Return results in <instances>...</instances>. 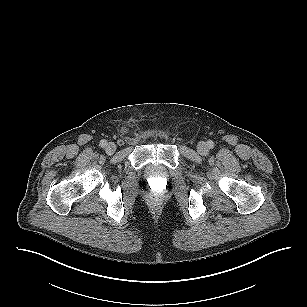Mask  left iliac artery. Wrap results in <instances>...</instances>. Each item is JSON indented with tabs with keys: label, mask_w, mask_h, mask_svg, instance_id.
<instances>
[{
	"label": "left iliac artery",
	"mask_w": 307,
	"mask_h": 307,
	"mask_svg": "<svg viewBox=\"0 0 307 307\" xmlns=\"http://www.w3.org/2000/svg\"><path fill=\"white\" fill-rule=\"evenodd\" d=\"M207 145H208L209 148H213V147H214V142L211 141V140H209V141L207 142Z\"/></svg>",
	"instance_id": "obj_1"
}]
</instances>
